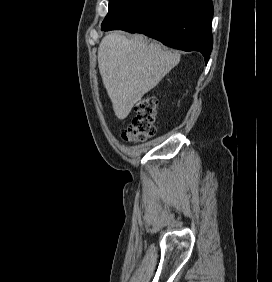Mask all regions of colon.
Masks as SVG:
<instances>
[{
	"mask_svg": "<svg viewBox=\"0 0 272 282\" xmlns=\"http://www.w3.org/2000/svg\"><path fill=\"white\" fill-rule=\"evenodd\" d=\"M135 115L122 134L127 142L142 143L153 136L158 117L157 99L146 96L134 105Z\"/></svg>",
	"mask_w": 272,
	"mask_h": 282,
	"instance_id": "obj_1",
	"label": "colon"
}]
</instances>
